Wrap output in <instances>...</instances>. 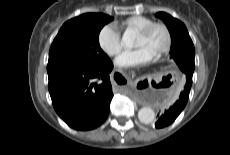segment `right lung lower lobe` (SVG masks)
Segmentation results:
<instances>
[{"mask_svg":"<svg viewBox=\"0 0 230 155\" xmlns=\"http://www.w3.org/2000/svg\"><path fill=\"white\" fill-rule=\"evenodd\" d=\"M112 69L110 60L101 66L47 70L53 107L70 127L91 130L106 120L113 97L109 78Z\"/></svg>","mask_w":230,"mask_h":155,"instance_id":"right-lung-lower-lobe-1","label":"right lung lower lobe"}]
</instances>
